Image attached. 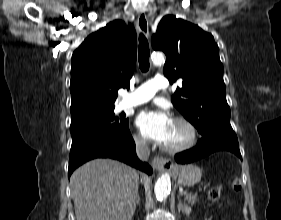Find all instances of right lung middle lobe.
<instances>
[{
  "instance_id": "right-lung-middle-lobe-1",
  "label": "right lung middle lobe",
  "mask_w": 281,
  "mask_h": 220,
  "mask_svg": "<svg viewBox=\"0 0 281 220\" xmlns=\"http://www.w3.org/2000/svg\"><path fill=\"white\" fill-rule=\"evenodd\" d=\"M128 122L125 114L116 116L114 109H110L71 119L70 131L72 138L94 132L118 134L129 129Z\"/></svg>"
}]
</instances>
